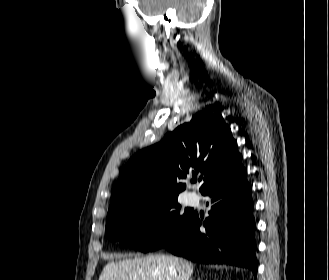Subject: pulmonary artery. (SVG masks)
<instances>
[{
	"label": "pulmonary artery",
	"mask_w": 329,
	"mask_h": 280,
	"mask_svg": "<svg viewBox=\"0 0 329 280\" xmlns=\"http://www.w3.org/2000/svg\"><path fill=\"white\" fill-rule=\"evenodd\" d=\"M196 200L195 194H190L187 198L188 203H193Z\"/></svg>",
	"instance_id": "e3ab8cb5"
}]
</instances>
